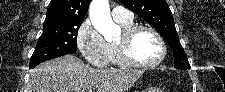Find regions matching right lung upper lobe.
<instances>
[{
  "label": "right lung upper lobe",
  "instance_id": "obj_1",
  "mask_svg": "<svg viewBox=\"0 0 225 92\" xmlns=\"http://www.w3.org/2000/svg\"><path fill=\"white\" fill-rule=\"evenodd\" d=\"M91 0H51L45 25L71 21H83Z\"/></svg>",
  "mask_w": 225,
  "mask_h": 92
}]
</instances>
